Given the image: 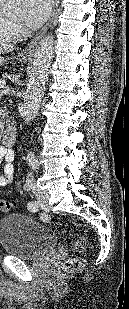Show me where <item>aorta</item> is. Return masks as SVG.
Instances as JSON below:
<instances>
[{"label":"aorta","mask_w":129,"mask_h":309,"mask_svg":"<svg viewBox=\"0 0 129 309\" xmlns=\"http://www.w3.org/2000/svg\"><path fill=\"white\" fill-rule=\"evenodd\" d=\"M22 0H7L4 11L9 15L17 14L21 9ZM54 55V36L47 34L39 42L32 59L27 89L24 95L21 114L27 125L37 116L43 99L50 66ZM29 158L34 155L29 152Z\"/></svg>","instance_id":"aorta-1"}]
</instances>
